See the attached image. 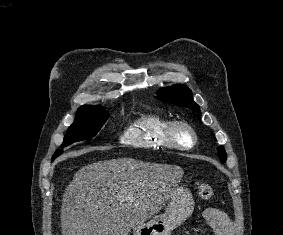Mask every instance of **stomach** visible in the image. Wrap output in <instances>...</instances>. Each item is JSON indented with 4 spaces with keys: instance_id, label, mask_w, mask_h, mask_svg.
I'll return each instance as SVG.
<instances>
[{
    "instance_id": "1",
    "label": "stomach",
    "mask_w": 283,
    "mask_h": 235,
    "mask_svg": "<svg viewBox=\"0 0 283 235\" xmlns=\"http://www.w3.org/2000/svg\"><path fill=\"white\" fill-rule=\"evenodd\" d=\"M194 200L189 190L173 186L165 212L132 228L133 235H171L192 214Z\"/></svg>"
}]
</instances>
